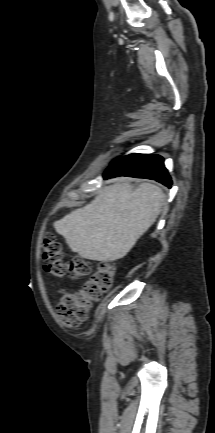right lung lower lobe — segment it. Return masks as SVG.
I'll use <instances>...</instances> for the list:
<instances>
[{"label":"right lung lower lobe","instance_id":"98d812e1","mask_svg":"<svg viewBox=\"0 0 215 433\" xmlns=\"http://www.w3.org/2000/svg\"><path fill=\"white\" fill-rule=\"evenodd\" d=\"M129 176L156 180L171 188V178L159 155L130 154L114 160L104 173L105 178Z\"/></svg>","mask_w":215,"mask_h":433}]
</instances>
